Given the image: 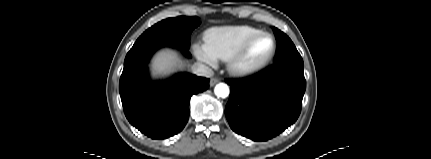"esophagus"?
I'll use <instances>...</instances> for the list:
<instances>
[{
  "label": "esophagus",
  "instance_id": "34e87169",
  "mask_svg": "<svg viewBox=\"0 0 431 159\" xmlns=\"http://www.w3.org/2000/svg\"><path fill=\"white\" fill-rule=\"evenodd\" d=\"M218 82H219L218 78H211L209 85L212 87V86H214Z\"/></svg>",
  "mask_w": 431,
  "mask_h": 159
}]
</instances>
